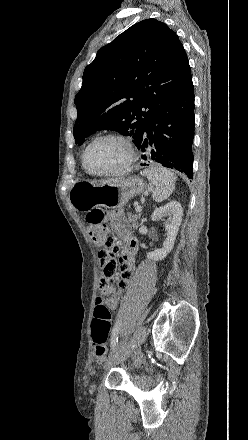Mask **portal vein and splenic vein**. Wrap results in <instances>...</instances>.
Instances as JSON below:
<instances>
[{
    "mask_svg": "<svg viewBox=\"0 0 248 440\" xmlns=\"http://www.w3.org/2000/svg\"><path fill=\"white\" fill-rule=\"evenodd\" d=\"M135 210H136V212H141L142 211V207L139 204H137L136 207H135Z\"/></svg>",
    "mask_w": 248,
    "mask_h": 440,
    "instance_id": "18ae733b",
    "label": "portal vein and splenic vein"
}]
</instances>
